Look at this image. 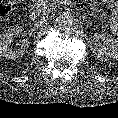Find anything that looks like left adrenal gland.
Instances as JSON below:
<instances>
[{
  "label": "left adrenal gland",
  "mask_w": 118,
  "mask_h": 118,
  "mask_svg": "<svg viewBox=\"0 0 118 118\" xmlns=\"http://www.w3.org/2000/svg\"><path fill=\"white\" fill-rule=\"evenodd\" d=\"M87 23H89L90 25L92 24V22H88V20H86Z\"/></svg>",
  "instance_id": "left-adrenal-gland-1"
}]
</instances>
